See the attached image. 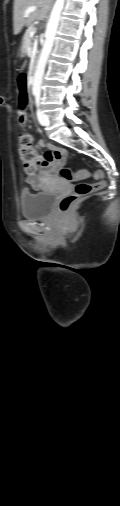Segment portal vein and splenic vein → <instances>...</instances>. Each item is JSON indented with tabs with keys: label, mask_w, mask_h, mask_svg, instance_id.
Masks as SVG:
<instances>
[{
	"label": "portal vein and splenic vein",
	"mask_w": 120,
	"mask_h": 506,
	"mask_svg": "<svg viewBox=\"0 0 120 506\" xmlns=\"http://www.w3.org/2000/svg\"><path fill=\"white\" fill-rule=\"evenodd\" d=\"M37 8L35 6L28 7L25 11V15L28 16L31 12H34ZM34 35V31L32 30L30 32V36L32 37Z\"/></svg>",
	"instance_id": "18ae733b"
}]
</instances>
